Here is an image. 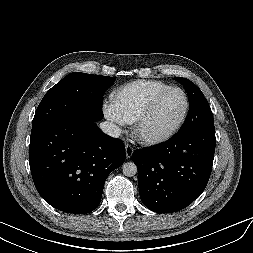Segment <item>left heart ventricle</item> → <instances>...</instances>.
Here are the masks:
<instances>
[{
    "instance_id": "1",
    "label": "left heart ventricle",
    "mask_w": 253,
    "mask_h": 253,
    "mask_svg": "<svg viewBox=\"0 0 253 253\" xmlns=\"http://www.w3.org/2000/svg\"><path fill=\"white\" fill-rule=\"evenodd\" d=\"M185 107L184 97L179 91H172L164 95L156 104L153 111L144 122V135H160L175 126Z\"/></svg>"
}]
</instances>
